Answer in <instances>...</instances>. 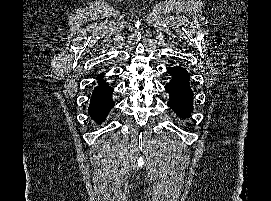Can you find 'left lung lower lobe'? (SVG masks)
<instances>
[{"label": "left lung lower lobe", "mask_w": 271, "mask_h": 201, "mask_svg": "<svg viewBox=\"0 0 271 201\" xmlns=\"http://www.w3.org/2000/svg\"><path fill=\"white\" fill-rule=\"evenodd\" d=\"M168 73L172 75L171 81L165 86L170 94L168 106L185 119L193 111V92L189 85V73L178 66L169 68Z\"/></svg>", "instance_id": "0a47b994"}]
</instances>
